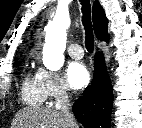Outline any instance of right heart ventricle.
Here are the masks:
<instances>
[{
	"label": "right heart ventricle",
	"instance_id": "obj_1",
	"mask_svg": "<svg viewBox=\"0 0 142 128\" xmlns=\"http://www.w3.org/2000/svg\"><path fill=\"white\" fill-rule=\"evenodd\" d=\"M22 98L23 101L31 106L42 105L45 101L43 96L37 73H28L22 83Z\"/></svg>",
	"mask_w": 142,
	"mask_h": 128
}]
</instances>
